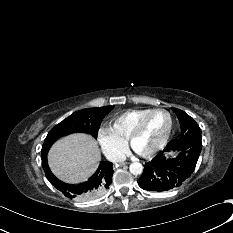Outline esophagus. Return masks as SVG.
<instances>
[{
    "mask_svg": "<svg viewBox=\"0 0 233 233\" xmlns=\"http://www.w3.org/2000/svg\"><path fill=\"white\" fill-rule=\"evenodd\" d=\"M125 164H127V162L122 161V162L119 163V165H121V166L125 165Z\"/></svg>",
    "mask_w": 233,
    "mask_h": 233,
    "instance_id": "34e87169",
    "label": "esophagus"
}]
</instances>
